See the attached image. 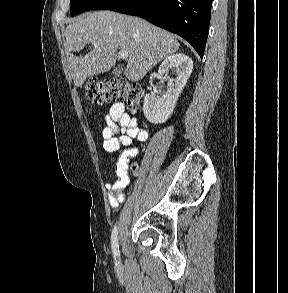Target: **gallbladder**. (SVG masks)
Wrapping results in <instances>:
<instances>
[{"mask_svg": "<svg viewBox=\"0 0 288 293\" xmlns=\"http://www.w3.org/2000/svg\"><path fill=\"white\" fill-rule=\"evenodd\" d=\"M122 72H123V68L121 66H119L113 70V75H114V77H118L122 74Z\"/></svg>", "mask_w": 288, "mask_h": 293, "instance_id": "1", "label": "gallbladder"}]
</instances>
